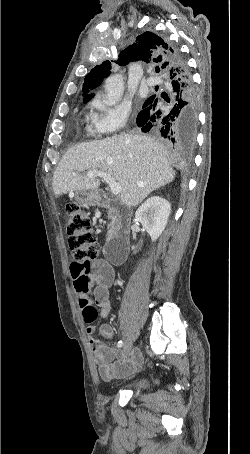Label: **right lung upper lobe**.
<instances>
[{
  "instance_id": "obj_1",
  "label": "right lung upper lobe",
  "mask_w": 250,
  "mask_h": 454,
  "mask_svg": "<svg viewBox=\"0 0 250 454\" xmlns=\"http://www.w3.org/2000/svg\"><path fill=\"white\" fill-rule=\"evenodd\" d=\"M142 60L146 63L157 64L156 69L165 76L172 66L169 54V43L152 32H145L136 37V43L128 46L121 51L116 63L120 66L128 64L130 61ZM111 62L104 61L94 67L85 77L83 84L84 95L89 89L100 85L104 77L111 73ZM93 95H86L84 102L91 99Z\"/></svg>"
}]
</instances>
